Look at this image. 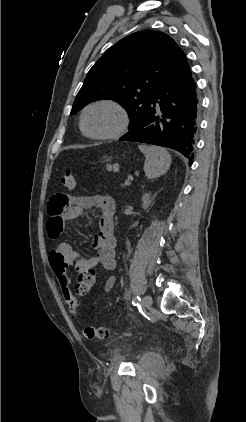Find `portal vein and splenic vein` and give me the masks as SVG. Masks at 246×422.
<instances>
[{
    "mask_svg": "<svg viewBox=\"0 0 246 422\" xmlns=\"http://www.w3.org/2000/svg\"><path fill=\"white\" fill-rule=\"evenodd\" d=\"M133 180H134V177L133 176H130L129 179H128V181L126 183L128 184V183H130V181H133Z\"/></svg>",
    "mask_w": 246,
    "mask_h": 422,
    "instance_id": "obj_1",
    "label": "portal vein and splenic vein"
}]
</instances>
